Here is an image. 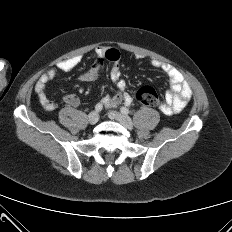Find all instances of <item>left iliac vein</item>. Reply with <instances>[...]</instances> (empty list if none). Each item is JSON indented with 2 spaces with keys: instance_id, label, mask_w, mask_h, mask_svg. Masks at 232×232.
Instances as JSON below:
<instances>
[{
  "instance_id": "4c4485c4",
  "label": "left iliac vein",
  "mask_w": 232,
  "mask_h": 232,
  "mask_svg": "<svg viewBox=\"0 0 232 232\" xmlns=\"http://www.w3.org/2000/svg\"><path fill=\"white\" fill-rule=\"evenodd\" d=\"M108 116L110 119L117 120L118 122H120L123 126H125L128 129L133 127V122L131 118L123 113L110 111L108 113Z\"/></svg>"
}]
</instances>
